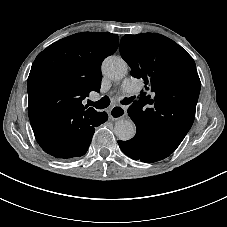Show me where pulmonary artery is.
I'll return each mask as SVG.
<instances>
[{
  "label": "pulmonary artery",
  "instance_id": "e3ab8cb5",
  "mask_svg": "<svg viewBox=\"0 0 227 227\" xmlns=\"http://www.w3.org/2000/svg\"><path fill=\"white\" fill-rule=\"evenodd\" d=\"M136 82L132 78H127L122 83V89L125 92H132L136 88Z\"/></svg>",
  "mask_w": 227,
  "mask_h": 227
}]
</instances>
